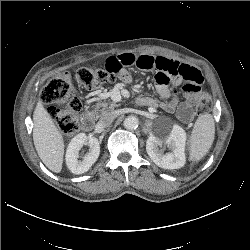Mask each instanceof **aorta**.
<instances>
[{"instance_id": "aorta-1", "label": "aorta", "mask_w": 250, "mask_h": 250, "mask_svg": "<svg viewBox=\"0 0 250 250\" xmlns=\"http://www.w3.org/2000/svg\"><path fill=\"white\" fill-rule=\"evenodd\" d=\"M123 125L128 130H134L139 125V120L135 116H128L125 118Z\"/></svg>"}]
</instances>
